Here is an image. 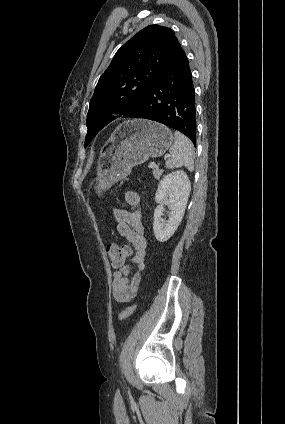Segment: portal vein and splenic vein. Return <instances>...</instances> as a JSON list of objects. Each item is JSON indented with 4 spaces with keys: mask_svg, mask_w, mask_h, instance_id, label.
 Masks as SVG:
<instances>
[{
    "mask_svg": "<svg viewBox=\"0 0 285 424\" xmlns=\"http://www.w3.org/2000/svg\"><path fill=\"white\" fill-rule=\"evenodd\" d=\"M149 167L150 168H155L156 167V164L154 162H152V163L149 164Z\"/></svg>",
    "mask_w": 285,
    "mask_h": 424,
    "instance_id": "portal-vein-and-splenic-vein-1",
    "label": "portal vein and splenic vein"
}]
</instances>
